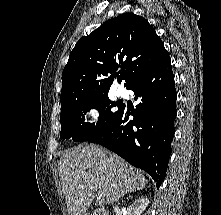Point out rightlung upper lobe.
Masks as SVG:
<instances>
[{"label":"right lung upper lobe","mask_w":221,"mask_h":215,"mask_svg":"<svg viewBox=\"0 0 221 215\" xmlns=\"http://www.w3.org/2000/svg\"><path fill=\"white\" fill-rule=\"evenodd\" d=\"M168 57L145 18L134 13L112 18L82 37L70 53L62 73L61 106L108 93L119 68L128 88Z\"/></svg>","instance_id":"obj_1"}]
</instances>
